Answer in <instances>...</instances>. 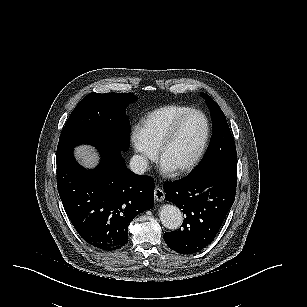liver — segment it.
I'll return each instance as SVG.
<instances>
[{
	"instance_id": "6515ba94",
	"label": "liver",
	"mask_w": 307,
	"mask_h": 307,
	"mask_svg": "<svg viewBox=\"0 0 307 307\" xmlns=\"http://www.w3.org/2000/svg\"><path fill=\"white\" fill-rule=\"evenodd\" d=\"M75 158L86 168H94L99 162V155L95 149L89 145H81L75 148Z\"/></svg>"
}]
</instances>
